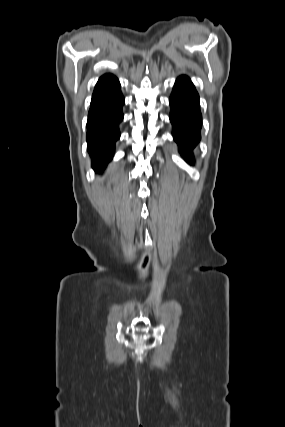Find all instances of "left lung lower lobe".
<instances>
[{
	"instance_id": "obj_1",
	"label": "left lung lower lobe",
	"mask_w": 285,
	"mask_h": 427,
	"mask_svg": "<svg viewBox=\"0 0 285 427\" xmlns=\"http://www.w3.org/2000/svg\"><path fill=\"white\" fill-rule=\"evenodd\" d=\"M170 120L173 137L179 145L180 153L190 163L193 161V148L200 141L202 116L199 96L194 85L186 76L177 79L170 97Z\"/></svg>"
}]
</instances>
